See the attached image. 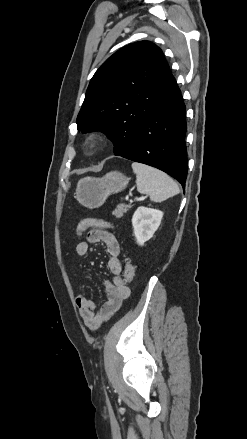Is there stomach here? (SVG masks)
<instances>
[{"label": "stomach", "instance_id": "stomach-1", "mask_svg": "<svg viewBox=\"0 0 247 439\" xmlns=\"http://www.w3.org/2000/svg\"><path fill=\"white\" fill-rule=\"evenodd\" d=\"M128 183L129 178L119 171L109 172L102 178L85 177L78 181L75 198L87 208H98L111 194L124 190Z\"/></svg>", "mask_w": 247, "mask_h": 439}]
</instances>
